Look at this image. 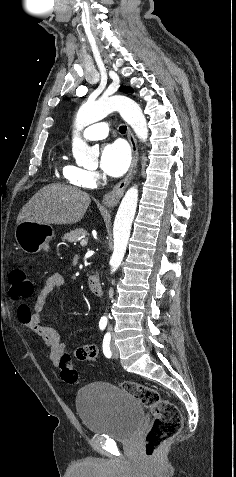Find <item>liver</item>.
<instances>
[{
  "label": "liver",
  "mask_w": 236,
  "mask_h": 477,
  "mask_svg": "<svg viewBox=\"0 0 236 477\" xmlns=\"http://www.w3.org/2000/svg\"><path fill=\"white\" fill-rule=\"evenodd\" d=\"M90 202V196L78 188L50 184L41 188L23 206L17 224L23 221L49 225L75 224L82 220Z\"/></svg>",
  "instance_id": "obj_1"
}]
</instances>
